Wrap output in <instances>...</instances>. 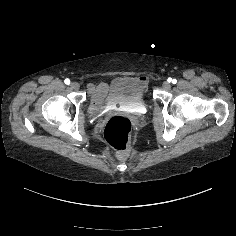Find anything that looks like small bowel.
Instances as JSON below:
<instances>
[{
  "label": "small bowel",
  "instance_id": "c3829d8e",
  "mask_svg": "<svg viewBox=\"0 0 236 236\" xmlns=\"http://www.w3.org/2000/svg\"><path fill=\"white\" fill-rule=\"evenodd\" d=\"M145 80V78H143ZM97 89H101L104 93V88H105V85L104 84H100L99 86L96 87Z\"/></svg>",
  "mask_w": 236,
  "mask_h": 236
}]
</instances>
